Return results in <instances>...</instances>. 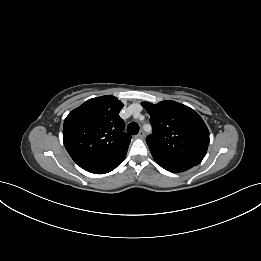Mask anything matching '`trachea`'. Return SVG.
Segmentation results:
<instances>
[{
	"label": "trachea",
	"instance_id": "trachea-1",
	"mask_svg": "<svg viewBox=\"0 0 261 261\" xmlns=\"http://www.w3.org/2000/svg\"><path fill=\"white\" fill-rule=\"evenodd\" d=\"M127 132L131 135H136L139 132V125L135 122L130 123L127 126Z\"/></svg>",
	"mask_w": 261,
	"mask_h": 261
}]
</instances>
